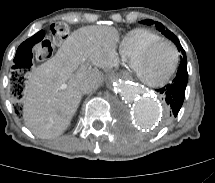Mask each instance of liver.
<instances>
[{
  "label": "liver",
  "instance_id": "6515ba94",
  "mask_svg": "<svg viewBox=\"0 0 215 183\" xmlns=\"http://www.w3.org/2000/svg\"><path fill=\"white\" fill-rule=\"evenodd\" d=\"M118 40L119 34L113 27H82L64 40L54 57L29 73L23 118L34 135L50 139L67 130L82 99L81 83L101 82L97 67L116 64ZM83 58L86 60L81 65ZM63 84L65 89H61Z\"/></svg>",
  "mask_w": 215,
  "mask_h": 183
}]
</instances>
